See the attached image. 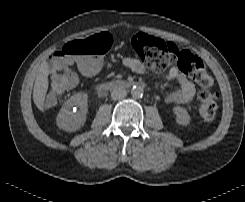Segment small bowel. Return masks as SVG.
I'll use <instances>...</instances> for the list:
<instances>
[{"instance_id": "obj_1", "label": "small bowel", "mask_w": 245, "mask_h": 202, "mask_svg": "<svg viewBox=\"0 0 245 202\" xmlns=\"http://www.w3.org/2000/svg\"><path fill=\"white\" fill-rule=\"evenodd\" d=\"M122 65L125 69L137 75L145 73V67L141 61L136 58L126 57L122 59ZM91 73L96 74L100 70V65L96 63L90 64ZM166 80L175 82L177 89L169 93L165 97V101L169 104H187L196 92V87L189 76L184 73L178 65H173L166 74ZM55 104L53 97H47L44 107L51 108Z\"/></svg>"}]
</instances>
